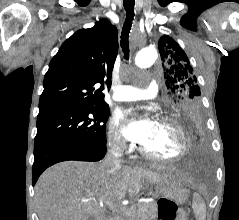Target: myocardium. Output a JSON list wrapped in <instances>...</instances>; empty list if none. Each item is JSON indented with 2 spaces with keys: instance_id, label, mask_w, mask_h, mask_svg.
Instances as JSON below:
<instances>
[{
  "instance_id": "obj_1",
  "label": "myocardium",
  "mask_w": 239,
  "mask_h": 220,
  "mask_svg": "<svg viewBox=\"0 0 239 220\" xmlns=\"http://www.w3.org/2000/svg\"><path fill=\"white\" fill-rule=\"evenodd\" d=\"M156 121L161 123H167L172 125L179 133L180 136V151L171 157L161 156L150 152L143 145L140 146V152L149 159L160 161V162H176L184 158L188 152V138L183 126L173 117L160 115L156 118Z\"/></svg>"
}]
</instances>
